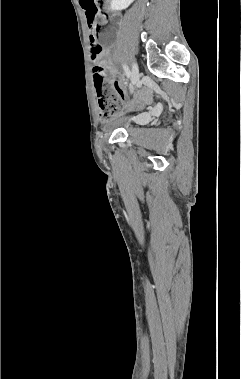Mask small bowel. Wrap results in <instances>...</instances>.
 Returning a JSON list of instances; mask_svg holds the SVG:
<instances>
[{
    "instance_id": "1",
    "label": "small bowel",
    "mask_w": 241,
    "mask_h": 379,
    "mask_svg": "<svg viewBox=\"0 0 241 379\" xmlns=\"http://www.w3.org/2000/svg\"><path fill=\"white\" fill-rule=\"evenodd\" d=\"M107 70L110 74V81L112 87L117 95L123 97L125 94V86L121 79H118L117 71L115 67L111 64L107 65ZM153 99L152 91L147 88H141L137 90L131 101L127 102L124 109L127 111H133L141 109L144 105L149 104ZM159 107H161L159 105Z\"/></svg>"
}]
</instances>
